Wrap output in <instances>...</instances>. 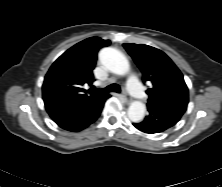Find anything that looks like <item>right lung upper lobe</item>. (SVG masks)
Masks as SVG:
<instances>
[{
    "label": "right lung upper lobe",
    "mask_w": 222,
    "mask_h": 187,
    "mask_svg": "<svg viewBox=\"0 0 222 187\" xmlns=\"http://www.w3.org/2000/svg\"><path fill=\"white\" fill-rule=\"evenodd\" d=\"M108 45L109 40L91 37L68 49L47 72L42 86L43 97L52 95L76 104L108 97L105 93L83 89L84 84L91 85L94 81L93 69L99 49Z\"/></svg>",
    "instance_id": "right-lung-upper-lobe-1"
}]
</instances>
